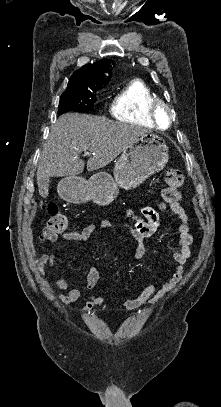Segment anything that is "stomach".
<instances>
[{"mask_svg": "<svg viewBox=\"0 0 221 407\" xmlns=\"http://www.w3.org/2000/svg\"><path fill=\"white\" fill-rule=\"evenodd\" d=\"M168 152L169 147L161 136L144 133L123 150L115 163L113 177L103 171L93 174L89 180L68 176L59 183L58 192L69 203L93 201L100 206L109 205L116 198L119 188L134 189L163 170L169 159Z\"/></svg>", "mask_w": 221, "mask_h": 407, "instance_id": "0dacf381", "label": "stomach"}]
</instances>
